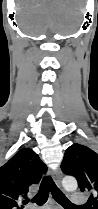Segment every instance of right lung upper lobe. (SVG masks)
<instances>
[{
	"mask_svg": "<svg viewBox=\"0 0 98 209\" xmlns=\"http://www.w3.org/2000/svg\"><path fill=\"white\" fill-rule=\"evenodd\" d=\"M47 166L29 148L19 150L0 167V209H22L31 185L38 184Z\"/></svg>",
	"mask_w": 98,
	"mask_h": 209,
	"instance_id": "obj_1",
	"label": "right lung upper lobe"
}]
</instances>
